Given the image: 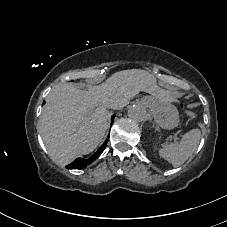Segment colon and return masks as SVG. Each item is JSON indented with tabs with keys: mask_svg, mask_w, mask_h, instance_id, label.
<instances>
[{
	"mask_svg": "<svg viewBox=\"0 0 227 227\" xmlns=\"http://www.w3.org/2000/svg\"><path fill=\"white\" fill-rule=\"evenodd\" d=\"M187 113H188V115H189V117H190L191 119H196V118H197V114H196L195 112L188 111Z\"/></svg>",
	"mask_w": 227,
	"mask_h": 227,
	"instance_id": "obj_1",
	"label": "colon"
}]
</instances>
